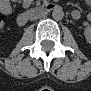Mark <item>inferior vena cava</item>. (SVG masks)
<instances>
[{
  "label": "inferior vena cava",
  "instance_id": "602c4592",
  "mask_svg": "<svg viewBox=\"0 0 91 91\" xmlns=\"http://www.w3.org/2000/svg\"><path fill=\"white\" fill-rule=\"evenodd\" d=\"M42 18H45V13H38V14L32 15V20H37Z\"/></svg>",
  "mask_w": 91,
  "mask_h": 91
}]
</instances>
